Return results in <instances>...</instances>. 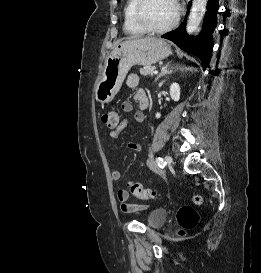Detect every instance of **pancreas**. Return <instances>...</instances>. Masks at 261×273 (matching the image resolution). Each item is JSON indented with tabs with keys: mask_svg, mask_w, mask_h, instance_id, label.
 I'll return each mask as SVG.
<instances>
[{
	"mask_svg": "<svg viewBox=\"0 0 261 273\" xmlns=\"http://www.w3.org/2000/svg\"><path fill=\"white\" fill-rule=\"evenodd\" d=\"M155 69L156 68L154 66H144V67L140 68V73L143 76H147V75L152 76L153 75V71Z\"/></svg>",
	"mask_w": 261,
	"mask_h": 273,
	"instance_id": "1",
	"label": "pancreas"
}]
</instances>
